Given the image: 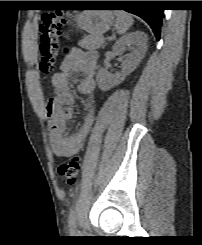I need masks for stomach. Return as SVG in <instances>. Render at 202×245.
Returning a JSON list of instances; mask_svg holds the SVG:
<instances>
[{
    "label": "stomach",
    "mask_w": 202,
    "mask_h": 245,
    "mask_svg": "<svg viewBox=\"0 0 202 245\" xmlns=\"http://www.w3.org/2000/svg\"><path fill=\"white\" fill-rule=\"evenodd\" d=\"M114 15L108 10H86L78 14L75 23L91 35L101 36L113 25Z\"/></svg>",
    "instance_id": "stomach-1"
}]
</instances>
